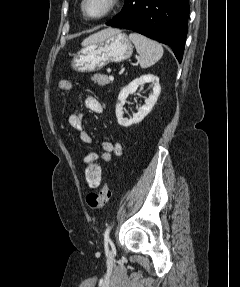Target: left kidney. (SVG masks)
<instances>
[{"label": "left kidney", "mask_w": 240, "mask_h": 287, "mask_svg": "<svg viewBox=\"0 0 240 287\" xmlns=\"http://www.w3.org/2000/svg\"><path fill=\"white\" fill-rule=\"evenodd\" d=\"M145 83H152L153 93L145 100V104L138 109V113L134 114L132 118H124L123 106L126 103V99L129 94L136 92L139 86L144 85ZM161 87L159 84V78L152 74L142 75L139 78L131 81L126 87H124L118 96V102L116 105V117L119 125L123 127H129L133 124L140 123L152 110L157 99L160 95Z\"/></svg>", "instance_id": "left-kidney-1"}]
</instances>
